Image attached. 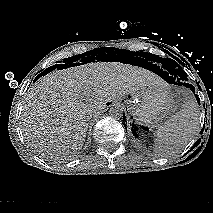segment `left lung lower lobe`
Returning a JSON list of instances; mask_svg holds the SVG:
<instances>
[{
    "instance_id": "obj_1",
    "label": "left lung lower lobe",
    "mask_w": 213,
    "mask_h": 213,
    "mask_svg": "<svg viewBox=\"0 0 213 213\" xmlns=\"http://www.w3.org/2000/svg\"><path fill=\"white\" fill-rule=\"evenodd\" d=\"M158 74H159L164 80H166V81L169 82V83H173V84H177V85H184L185 87L190 88L191 91H192L193 93L195 92L194 86H192V85L189 84V83L183 82V81H177V80H175V78H174L173 76H171V75L169 74V72L163 71V69H160L159 72H158ZM195 96H196L197 102L199 103V98L197 97L196 94H195ZM199 104H200V103H199ZM123 119L125 120V114H124V118H123ZM126 123H127V122H126ZM134 129H136V128H134ZM132 131H134V130L132 129ZM133 135H134V134H133Z\"/></svg>"
}]
</instances>
